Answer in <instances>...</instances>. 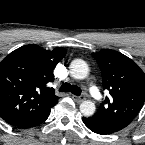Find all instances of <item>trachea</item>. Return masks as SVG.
<instances>
[{"instance_id": "3493384b", "label": "trachea", "mask_w": 145, "mask_h": 145, "mask_svg": "<svg viewBox=\"0 0 145 145\" xmlns=\"http://www.w3.org/2000/svg\"><path fill=\"white\" fill-rule=\"evenodd\" d=\"M60 92H71L74 95H81L82 90L76 86V85H71L69 83H64L59 89Z\"/></svg>"}]
</instances>
